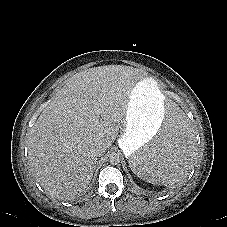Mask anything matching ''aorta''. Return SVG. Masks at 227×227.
<instances>
[{"instance_id":"762f6f07","label":"aorta","mask_w":227,"mask_h":227,"mask_svg":"<svg viewBox=\"0 0 227 227\" xmlns=\"http://www.w3.org/2000/svg\"><path fill=\"white\" fill-rule=\"evenodd\" d=\"M109 162L112 165H117L120 163V155L118 153L112 152L109 154Z\"/></svg>"}]
</instances>
